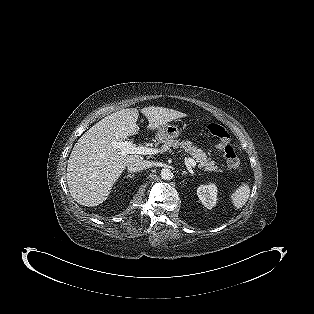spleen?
Wrapping results in <instances>:
<instances>
[{
    "label": "spleen",
    "instance_id": "obj_1",
    "mask_svg": "<svg viewBox=\"0 0 314 314\" xmlns=\"http://www.w3.org/2000/svg\"><path fill=\"white\" fill-rule=\"evenodd\" d=\"M250 196V187L247 183H242L231 195V200L236 209L242 208Z\"/></svg>",
    "mask_w": 314,
    "mask_h": 314
}]
</instances>
